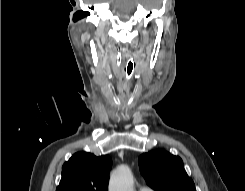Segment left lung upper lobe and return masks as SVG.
I'll return each mask as SVG.
<instances>
[{"instance_id": "5c2ea615", "label": "left lung upper lobe", "mask_w": 245, "mask_h": 191, "mask_svg": "<svg viewBox=\"0 0 245 191\" xmlns=\"http://www.w3.org/2000/svg\"><path fill=\"white\" fill-rule=\"evenodd\" d=\"M138 163L147 184L157 191H196L179 156L158 149L140 155Z\"/></svg>"}]
</instances>
